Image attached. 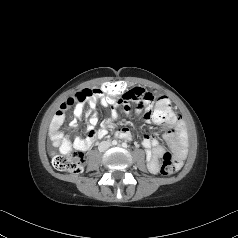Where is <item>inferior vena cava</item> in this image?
Segmentation results:
<instances>
[{"label":"inferior vena cava","mask_w":238,"mask_h":238,"mask_svg":"<svg viewBox=\"0 0 238 238\" xmlns=\"http://www.w3.org/2000/svg\"><path fill=\"white\" fill-rule=\"evenodd\" d=\"M111 146V143L108 141H103L99 144L98 149L99 151L103 152L107 150Z\"/></svg>","instance_id":"602c4592"}]
</instances>
